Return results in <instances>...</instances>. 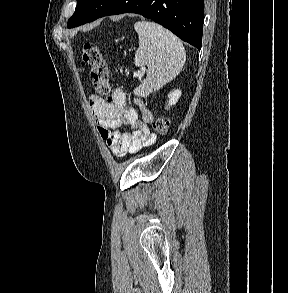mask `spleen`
I'll list each match as a JSON object with an SVG mask.
<instances>
[{
    "instance_id": "1",
    "label": "spleen",
    "mask_w": 288,
    "mask_h": 293,
    "mask_svg": "<svg viewBox=\"0 0 288 293\" xmlns=\"http://www.w3.org/2000/svg\"><path fill=\"white\" fill-rule=\"evenodd\" d=\"M134 29L139 37L134 63L138 67L147 66V76L134 93L147 97L179 74L186 60V52L182 42L157 23L138 21Z\"/></svg>"
}]
</instances>
